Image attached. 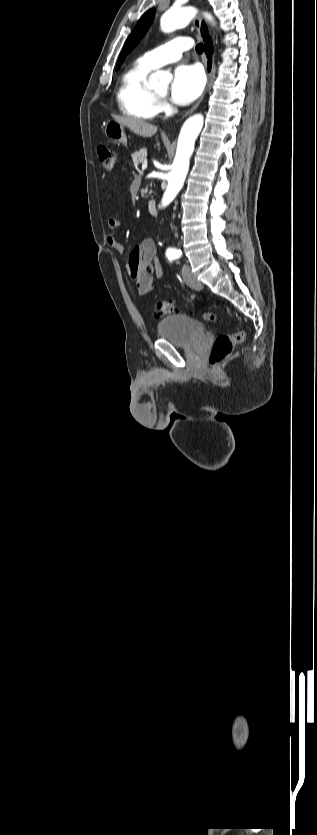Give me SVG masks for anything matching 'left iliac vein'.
<instances>
[{
  "label": "left iliac vein",
  "mask_w": 317,
  "mask_h": 835,
  "mask_svg": "<svg viewBox=\"0 0 317 835\" xmlns=\"http://www.w3.org/2000/svg\"><path fill=\"white\" fill-rule=\"evenodd\" d=\"M182 276L185 283L192 289L200 290L202 288L201 282H199L191 272L190 266L187 264L183 265L182 268Z\"/></svg>",
  "instance_id": "obj_1"
}]
</instances>
